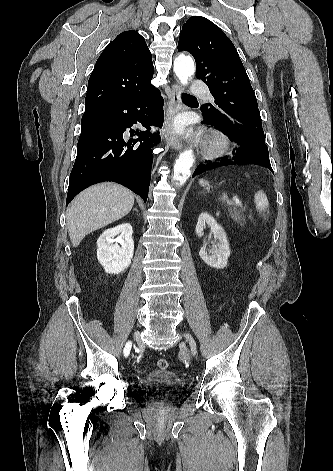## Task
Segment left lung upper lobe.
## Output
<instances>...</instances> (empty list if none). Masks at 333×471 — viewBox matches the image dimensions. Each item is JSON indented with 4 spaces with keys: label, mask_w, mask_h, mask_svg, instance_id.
I'll list each match as a JSON object with an SVG mask.
<instances>
[{
    "label": "left lung upper lobe",
    "mask_w": 333,
    "mask_h": 471,
    "mask_svg": "<svg viewBox=\"0 0 333 471\" xmlns=\"http://www.w3.org/2000/svg\"><path fill=\"white\" fill-rule=\"evenodd\" d=\"M190 52L196 76L215 98L200 110L241 143L265 144L260 112L246 70L231 40L204 17H190L180 32L178 51Z\"/></svg>",
    "instance_id": "obj_1"
}]
</instances>
